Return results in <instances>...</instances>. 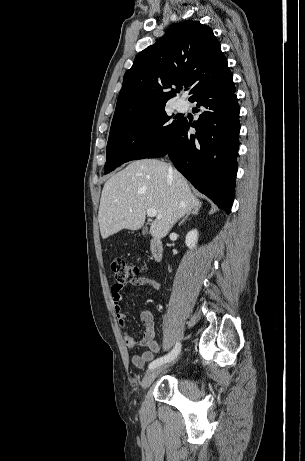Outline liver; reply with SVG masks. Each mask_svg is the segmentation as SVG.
Wrapping results in <instances>:
<instances>
[{
    "instance_id": "liver-1",
    "label": "liver",
    "mask_w": 305,
    "mask_h": 461,
    "mask_svg": "<svg viewBox=\"0 0 305 461\" xmlns=\"http://www.w3.org/2000/svg\"><path fill=\"white\" fill-rule=\"evenodd\" d=\"M168 169L159 160H138L107 180L98 213L103 239L122 229H140L148 208L162 215L152 222L150 234L163 238L186 212L201 207L184 176L177 170L169 175Z\"/></svg>"
}]
</instances>
